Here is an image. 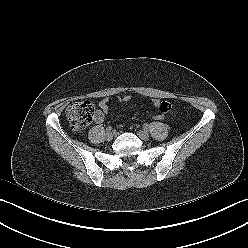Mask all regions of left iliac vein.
Listing matches in <instances>:
<instances>
[{"instance_id": "1", "label": "left iliac vein", "mask_w": 248, "mask_h": 248, "mask_svg": "<svg viewBox=\"0 0 248 248\" xmlns=\"http://www.w3.org/2000/svg\"><path fill=\"white\" fill-rule=\"evenodd\" d=\"M137 134L144 141H148L150 138L149 133L147 131H144V130L138 131Z\"/></svg>"}]
</instances>
